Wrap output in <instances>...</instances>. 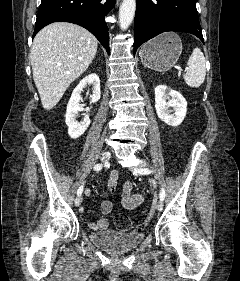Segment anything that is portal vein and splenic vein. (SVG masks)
I'll use <instances>...</instances> for the list:
<instances>
[{"mask_svg": "<svg viewBox=\"0 0 240 281\" xmlns=\"http://www.w3.org/2000/svg\"><path fill=\"white\" fill-rule=\"evenodd\" d=\"M176 67V69H178L179 70V72H181L182 71V69L179 67V66H175ZM185 71H188V68H185Z\"/></svg>", "mask_w": 240, "mask_h": 281, "instance_id": "portal-vein-and-splenic-vein-1", "label": "portal vein and splenic vein"}]
</instances>
